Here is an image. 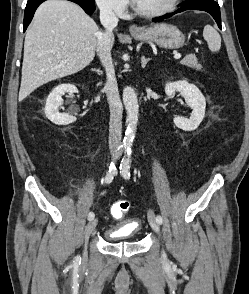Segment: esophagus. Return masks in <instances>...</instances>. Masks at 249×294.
I'll list each match as a JSON object with an SVG mask.
<instances>
[{"mask_svg":"<svg viewBox=\"0 0 249 294\" xmlns=\"http://www.w3.org/2000/svg\"><path fill=\"white\" fill-rule=\"evenodd\" d=\"M129 31L131 34H135V33H139L141 29L136 24H133L129 27Z\"/></svg>","mask_w":249,"mask_h":294,"instance_id":"1","label":"esophagus"}]
</instances>
